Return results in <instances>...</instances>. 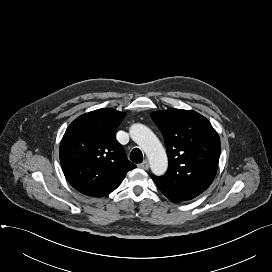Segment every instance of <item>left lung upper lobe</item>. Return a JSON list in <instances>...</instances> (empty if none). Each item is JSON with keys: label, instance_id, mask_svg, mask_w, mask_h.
<instances>
[{"label": "left lung upper lobe", "instance_id": "obj_1", "mask_svg": "<svg viewBox=\"0 0 272 272\" xmlns=\"http://www.w3.org/2000/svg\"><path fill=\"white\" fill-rule=\"evenodd\" d=\"M151 118L160 129L168 155L164 176L151 175L173 202L190 200L212 183L218 168L220 139L210 122L192 110L156 111Z\"/></svg>", "mask_w": 272, "mask_h": 272}]
</instances>
